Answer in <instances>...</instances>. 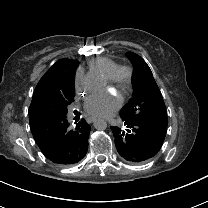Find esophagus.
<instances>
[{"label":"esophagus","instance_id":"esophagus-1","mask_svg":"<svg viewBox=\"0 0 208 208\" xmlns=\"http://www.w3.org/2000/svg\"><path fill=\"white\" fill-rule=\"evenodd\" d=\"M95 120H96V117H93V116H89V117L86 118V121L88 123H93Z\"/></svg>","mask_w":208,"mask_h":208}]
</instances>
